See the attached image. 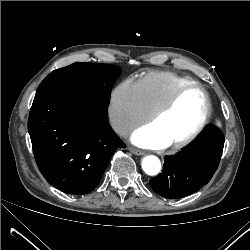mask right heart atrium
I'll list each match as a JSON object with an SVG mask.
<instances>
[{
	"mask_svg": "<svg viewBox=\"0 0 250 250\" xmlns=\"http://www.w3.org/2000/svg\"><path fill=\"white\" fill-rule=\"evenodd\" d=\"M108 114L111 127L121 136L127 135L151 116L136 83L131 79L123 80L111 91Z\"/></svg>",
	"mask_w": 250,
	"mask_h": 250,
	"instance_id": "obj_1",
	"label": "right heart atrium"
}]
</instances>
